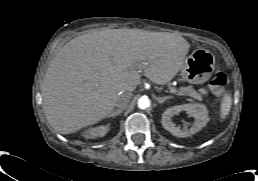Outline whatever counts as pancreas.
<instances>
[{"label":"pancreas","instance_id":"obj_1","mask_svg":"<svg viewBox=\"0 0 258 181\" xmlns=\"http://www.w3.org/2000/svg\"><path fill=\"white\" fill-rule=\"evenodd\" d=\"M175 90L177 95L189 96L197 100H202V96L192 86L181 87L180 89Z\"/></svg>","mask_w":258,"mask_h":181}]
</instances>
